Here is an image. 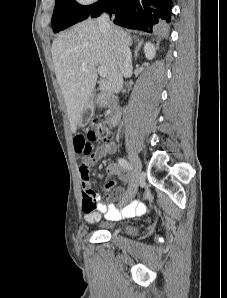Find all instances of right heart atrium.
I'll return each instance as SVG.
<instances>
[{
    "label": "right heart atrium",
    "mask_w": 227,
    "mask_h": 298,
    "mask_svg": "<svg viewBox=\"0 0 227 298\" xmlns=\"http://www.w3.org/2000/svg\"><path fill=\"white\" fill-rule=\"evenodd\" d=\"M97 0H76L77 3L83 6L91 5L95 3Z\"/></svg>",
    "instance_id": "right-heart-atrium-1"
}]
</instances>
